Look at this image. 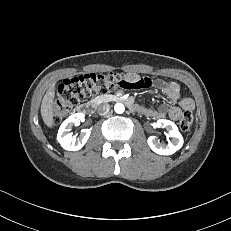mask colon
<instances>
[{"label":"colon","mask_w":231,"mask_h":231,"mask_svg":"<svg viewBox=\"0 0 231 231\" xmlns=\"http://www.w3.org/2000/svg\"><path fill=\"white\" fill-rule=\"evenodd\" d=\"M151 79L141 77L136 81H130L120 73H90L77 77L65 79L57 88L54 96L55 107L53 119L60 122L68 115L80 102L98 95L111 92L113 90L143 89L151 86ZM193 124L191 112H184L179 127L182 131H188Z\"/></svg>","instance_id":"1"}]
</instances>
